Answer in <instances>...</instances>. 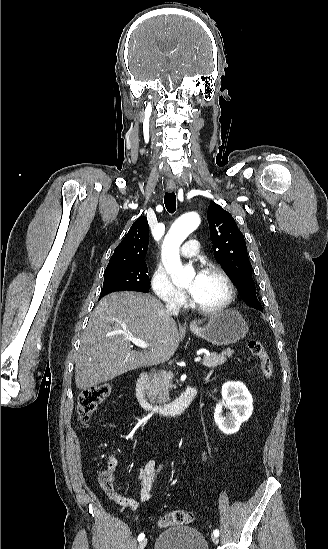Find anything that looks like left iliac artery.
<instances>
[{"label": "left iliac artery", "instance_id": "left-iliac-artery-1", "mask_svg": "<svg viewBox=\"0 0 328 549\" xmlns=\"http://www.w3.org/2000/svg\"><path fill=\"white\" fill-rule=\"evenodd\" d=\"M213 534H214V536H217V537H218V536H219V530H217V529L214 530V531H213Z\"/></svg>", "mask_w": 328, "mask_h": 549}]
</instances>
